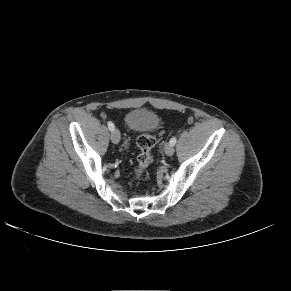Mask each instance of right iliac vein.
<instances>
[{
    "label": "right iliac vein",
    "mask_w": 291,
    "mask_h": 291,
    "mask_svg": "<svg viewBox=\"0 0 291 291\" xmlns=\"http://www.w3.org/2000/svg\"><path fill=\"white\" fill-rule=\"evenodd\" d=\"M121 135L118 129H114L111 132V140L114 144H118L120 141Z\"/></svg>",
    "instance_id": "63e3f726"
}]
</instances>
